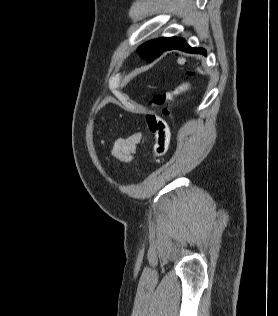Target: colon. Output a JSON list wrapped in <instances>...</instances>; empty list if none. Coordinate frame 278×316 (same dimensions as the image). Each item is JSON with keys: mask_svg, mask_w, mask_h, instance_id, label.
I'll return each mask as SVG.
<instances>
[{"mask_svg": "<svg viewBox=\"0 0 278 316\" xmlns=\"http://www.w3.org/2000/svg\"><path fill=\"white\" fill-rule=\"evenodd\" d=\"M187 88L188 85H181L167 92L157 94L152 98L151 105L162 106L186 91ZM146 122L149 130L155 137L153 159L155 161H160L166 154L169 146L170 131L168 125L163 118L156 114H148L146 116Z\"/></svg>", "mask_w": 278, "mask_h": 316, "instance_id": "colon-1", "label": "colon"}]
</instances>
